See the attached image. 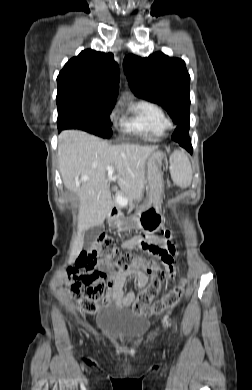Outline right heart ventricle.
Wrapping results in <instances>:
<instances>
[{"instance_id":"1","label":"right heart ventricle","mask_w":252,"mask_h":390,"mask_svg":"<svg viewBox=\"0 0 252 390\" xmlns=\"http://www.w3.org/2000/svg\"><path fill=\"white\" fill-rule=\"evenodd\" d=\"M127 117L123 121L126 131L149 138H160L166 134L169 121L157 104L149 101L132 103L126 109Z\"/></svg>"}]
</instances>
